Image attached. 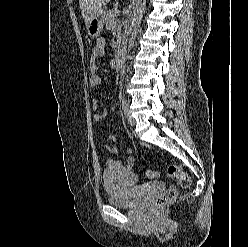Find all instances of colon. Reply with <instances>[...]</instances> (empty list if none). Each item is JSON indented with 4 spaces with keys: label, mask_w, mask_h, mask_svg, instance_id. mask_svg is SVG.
Wrapping results in <instances>:
<instances>
[{
    "label": "colon",
    "mask_w": 248,
    "mask_h": 247,
    "mask_svg": "<svg viewBox=\"0 0 248 247\" xmlns=\"http://www.w3.org/2000/svg\"><path fill=\"white\" fill-rule=\"evenodd\" d=\"M167 174L169 178L174 180L176 184L181 188H187L191 183L189 174L177 164H171L167 168ZM146 176L148 178H155L157 173L155 171H147ZM177 196V189L175 187L168 188L162 195H160L154 201V207L160 208L165 204L171 202Z\"/></svg>",
    "instance_id": "obj_1"
}]
</instances>
